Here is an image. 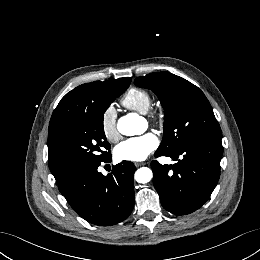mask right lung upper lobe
Returning a JSON list of instances; mask_svg holds the SVG:
<instances>
[{
  "label": "right lung upper lobe",
  "mask_w": 260,
  "mask_h": 260,
  "mask_svg": "<svg viewBox=\"0 0 260 260\" xmlns=\"http://www.w3.org/2000/svg\"><path fill=\"white\" fill-rule=\"evenodd\" d=\"M131 83V78H120L109 81H96L80 85L67 93L55 108L48 131L49 168L57 183L65 173L60 166L56 145L57 134L66 128L82 111L86 110L90 101L104 91L126 90Z\"/></svg>",
  "instance_id": "right-lung-upper-lobe-1"
}]
</instances>
